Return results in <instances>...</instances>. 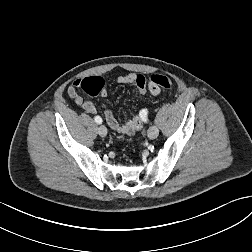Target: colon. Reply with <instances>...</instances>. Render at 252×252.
Returning a JSON list of instances; mask_svg holds the SVG:
<instances>
[{
	"label": "colon",
	"mask_w": 252,
	"mask_h": 252,
	"mask_svg": "<svg viewBox=\"0 0 252 252\" xmlns=\"http://www.w3.org/2000/svg\"><path fill=\"white\" fill-rule=\"evenodd\" d=\"M152 83L156 86L169 90L173 87V83L170 78L163 75H152L149 78H146L142 75H137L136 77V87L139 93L143 94L146 92L147 86ZM105 87L104 80L99 76H91L81 80L80 88L87 94L91 96H97L101 93Z\"/></svg>",
	"instance_id": "5ec220e1"
}]
</instances>
